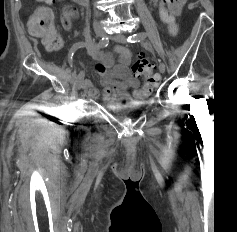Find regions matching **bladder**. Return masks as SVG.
I'll return each instance as SVG.
<instances>
[{
	"mask_svg": "<svg viewBox=\"0 0 237 232\" xmlns=\"http://www.w3.org/2000/svg\"><path fill=\"white\" fill-rule=\"evenodd\" d=\"M130 101L125 104H110L109 108L113 111H118V112L134 110V109L139 108L146 101V99L138 101V102H130Z\"/></svg>",
	"mask_w": 237,
	"mask_h": 232,
	"instance_id": "1",
	"label": "bladder"
}]
</instances>
